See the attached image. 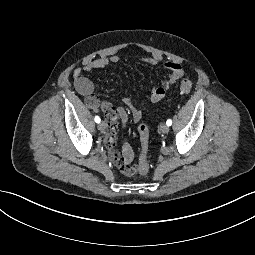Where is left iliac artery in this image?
I'll list each match as a JSON object with an SVG mask.
<instances>
[{"label": "left iliac artery", "instance_id": "44dca946", "mask_svg": "<svg viewBox=\"0 0 255 255\" xmlns=\"http://www.w3.org/2000/svg\"><path fill=\"white\" fill-rule=\"evenodd\" d=\"M166 124H167L168 126H170V125L172 124V121L169 119V120H167Z\"/></svg>", "mask_w": 255, "mask_h": 255}]
</instances>
